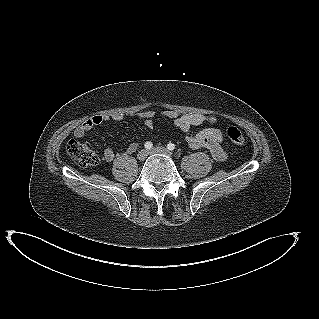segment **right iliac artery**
Wrapping results in <instances>:
<instances>
[{"label":"right iliac artery","instance_id":"right-iliac-artery-1","mask_svg":"<svg viewBox=\"0 0 319 319\" xmlns=\"http://www.w3.org/2000/svg\"><path fill=\"white\" fill-rule=\"evenodd\" d=\"M144 147L148 150V149H151L153 147V144H152V142L148 141L144 144Z\"/></svg>","mask_w":319,"mask_h":319}]
</instances>
